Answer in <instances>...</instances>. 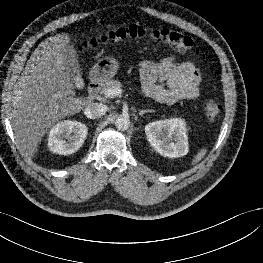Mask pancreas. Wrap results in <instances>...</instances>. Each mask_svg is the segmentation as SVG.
Instances as JSON below:
<instances>
[{"mask_svg": "<svg viewBox=\"0 0 263 263\" xmlns=\"http://www.w3.org/2000/svg\"><path fill=\"white\" fill-rule=\"evenodd\" d=\"M113 87H121V83L114 79H107L100 88V94L108 97L107 91Z\"/></svg>", "mask_w": 263, "mask_h": 263, "instance_id": "1", "label": "pancreas"}]
</instances>
